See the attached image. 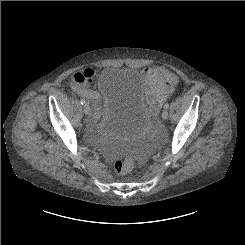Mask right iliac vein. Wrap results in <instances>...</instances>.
I'll list each match as a JSON object with an SVG mask.
<instances>
[{
    "label": "right iliac vein",
    "instance_id": "obj_1",
    "mask_svg": "<svg viewBox=\"0 0 245 245\" xmlns=\"http://www.w3.org/2000/svg\"><path fill=\"white\" fill-rule=\"evenodd\" d=\"M84 112H85L86 115L90 114L91 109H90L89 105H87V104L84 105Z\"/></svg>",
    "mask_w": 245,
    "mask_h": 245
}]
</instances>
